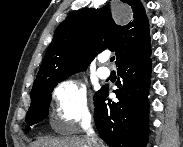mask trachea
Segmentation results:
<instances>
[{
    "instance_id": "3493384b",
    "label": "trachea",
    "mask_w": 183,
    "mask_h": 147,
    "mask_svg": "<svg viewBox=\"0 0 183 147\" xmlns=\"http://www.w3.org/2000/svg\"><path fill=\"white\" fill-rule=\"evenodd\" d=\"M114 60H115L114 56L110 58V62H113Z\"/></svg>"
}]
</instances>
